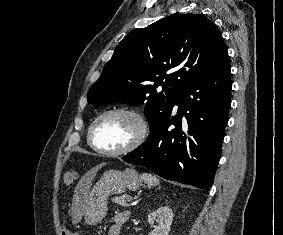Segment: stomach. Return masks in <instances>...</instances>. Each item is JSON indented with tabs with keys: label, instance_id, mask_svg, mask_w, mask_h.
<instances>
[{
	"label": "stomach",
	"instance_id": "obj_1",
	"mask_svg": "<svg viewBox=\"0 0 283 235\" xmlns=\"http://www.w3.org/2000/svg\"><path fill=\"white\" fill-rule=\"evenodd\" d=\"M140 186L142 178L133 168L105 171L97 184L81 197V211L85 222L90 225L98 224L106 216L111 195L122 194L126 190L135 191Z\"/></svg>",
	"mask_w": 283,
	"mask_h": 235
}]
</instances>
